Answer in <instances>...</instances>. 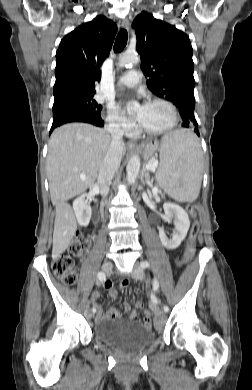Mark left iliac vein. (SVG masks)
<instances>
[{
    "mask_svg": "<svg viewBox=\"0 0 252 390\" xmlns=\"http://www.w3.org/2000/svg\"><path fill=\"white\" fill-rule=\"evenodd\" d=\"M132 277L137 280L144 279V271L141 267L135 265L134 270L131 273ZM157 320H163L165 317V313L162 310L157 308L154 309Z\"/></svg>",
    "mask_w": 252,
    "mask_h": 390,
    "instance_id": "left-iliac-vein-1",
    "label": "left iliac vein"
}]
</instances>
